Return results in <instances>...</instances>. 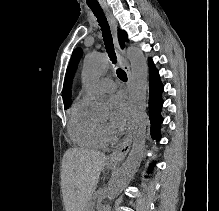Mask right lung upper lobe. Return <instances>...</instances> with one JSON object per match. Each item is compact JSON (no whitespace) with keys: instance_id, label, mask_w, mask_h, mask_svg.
Listing matches in <instances>:
<instances>
[{"instance_id":"1","label":"right lung upper lobe","mask_w":219,"mask_h":211,"mask_svg":"<svg viewBox=\"0 0 219 211\" xmlns=\"http://www.w3.org/2000/svg\"><path fill=\"white\" fill-rule=\"evenodd\" d=\"M118 37H119V42H120L121 47H124V40H123V37L120 31H118ZM62 95H63V100H64V106H69L71 103V98H70L71 94H70V85L68 83L67 75L64 81Z\"/></svg>"}]
</instances>
